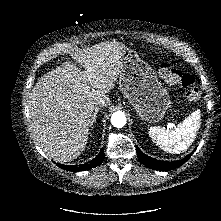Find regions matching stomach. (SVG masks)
Returning a JSON list of instances; mask_svg holds the SVG:
<instances>
[{"mask_svg":"<svg viewBox=\"0 0 221 221\" xmlns=\"http://www.w3.org/2000/svg\"><path fill=\"white\" fill-rule=\"evenodd\" d=\"M120 56V91L142 120L150 123L160 121L170 104L167 90L154 70L135 51L125 46Z\"/></svg>","mask_w":221,"mask_h":221,"instance_id":"1","label":"stomach"}]
</instances>
